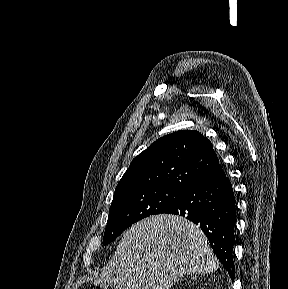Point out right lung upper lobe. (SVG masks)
<instances>
[{"mask_svg":"<svg viewBox=\"0 0 288 289\" xmlns=\"http://www.w3.org/2000/svg\"><path fill=\"white\" fill-rule=\"evenodd\" d=\"M219 164L211 142L192 130L164 136L135 157L115 194L142 188L186 189Z\"/></svg>","mask_w":288,"mask_h":289,"instance_id":"right-lung-upper-lobe-1","label":"right lung upper lobe"}]
</instances>
